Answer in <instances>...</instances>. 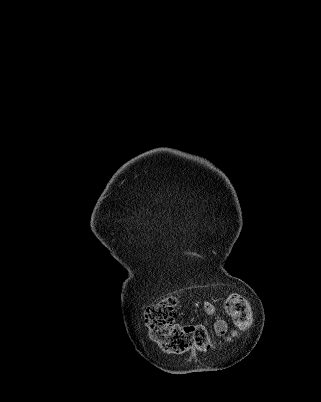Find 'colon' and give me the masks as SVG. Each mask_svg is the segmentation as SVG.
<instances>
[{"mask_svg": "<svg viewBox=\"0 0 321 402\" xmlns=\"http://www.w3.org/2000/svg\"><path fill=\"white\" fill-rule=\"evenodd\" d=\"M177 302L175 296H169L146 309L144 319L150 339L170 354H182L192 350L207 352L214 349L216 342L204 325L175 323ZM224 307L226 313L234 320L237 332H242L250 326L251 310L243 296L230 294Z\"/></svg>", "mask_w": 321, "mask_h": 402, "instance_id": "obj_1", "label": "colon"}]
</instances>
